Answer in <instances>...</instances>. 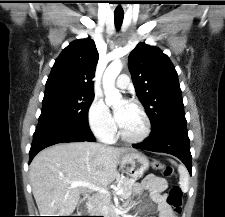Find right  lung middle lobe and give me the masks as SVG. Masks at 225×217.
<instances>
[{
    "mask_svg": "<svg viewBox=\"0 0 225 217\" xmlns=\"http://www.w3.org/2000/svg\"><path fill=\"white\" fill-rule=\"evenodd\" d=\"M93 99L94 94L63 91L45 93L40 117L86 124L88 123V109Z\"/></svg>",
    "mask_w": 225,
    "mask_h": 217,
    "instance_id": "dd1d6c3e",
    "label": "right lung middle lobe"
}]
</instances>
